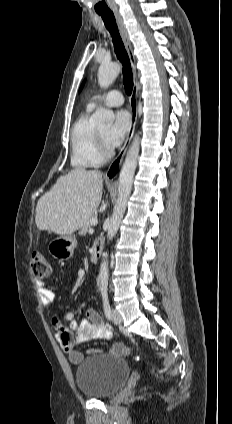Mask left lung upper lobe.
Masks as SVG:
<instances>
[{"label": "left lung upper lobe", "mask_w": 232, "mask_h": 424, "mask_svg": "<svg viewBox=\"0 0 232 424\" xmlns=\"http://www.w3.org/2000/svg\"><path fill=\"white\" fill-rule=\"evenodd\" d=\"M84 84V83H83ZM83 84L81 85V88H80V90L82 89V87H83Z\"/></svg>", "instance_id": "left-lung-upper-lobe-1"}]
</instances>
